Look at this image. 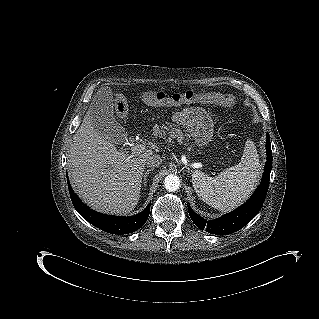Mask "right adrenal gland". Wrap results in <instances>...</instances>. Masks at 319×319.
<instances>
[{
    "label": "right adrenal gland",
    "mask_w": 319,
    "mask_h": 319,
    "mask_svg": "<svg viewBox=\"0 0 319 319\" xmlns=\"http://www.w3.org/2000/svg\"><path fill=\"white\" fill-rule=\"evenodd\" d=\"M153 169H148L147 171H145L144 176H143V184L144 186L147 185V176L149 175V172L152 171Z\"/></svg>",
    "instance_id": "2a0ac1e0"
}]
</instances>
